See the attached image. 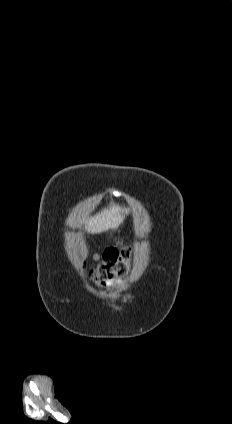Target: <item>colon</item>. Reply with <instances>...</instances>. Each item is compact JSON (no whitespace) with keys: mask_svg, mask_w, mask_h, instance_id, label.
<instances>
[{"mask_svg":"<svg viewBox=\"0 0 232 424\" xmlns=\"http://www.w3.org/2000/svg\"><path fill=\"white\" fill-rule=\"evenodd\" d=\"M132 257L130 249H108L99 256V264L90 277L94 280L124 277L130 271Z\"/></svg>","mask_w":232,"mask_h":424,"instance_id":"1","label":"colon"}]
</instances>
